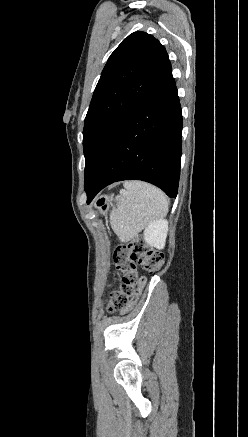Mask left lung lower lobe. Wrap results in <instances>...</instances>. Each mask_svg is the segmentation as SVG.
<instances>
[{"label": "left lung lower lobe", "instance_id": "0a47b994", "mask_svg": "<svg viewBox=\"0 0 248 437\" xmlns=\"http://www.w3.org/2000/svg\"><path fill=\"white\" fill-rule=\"evenodd\" d=\"M182 114L170 74L129 117L117 134L87 192L89 204L107 185L137 179L176 197L182 152Z\"/></svg>", "mask_w": 248, "mask_h": 437}]
</instances>
